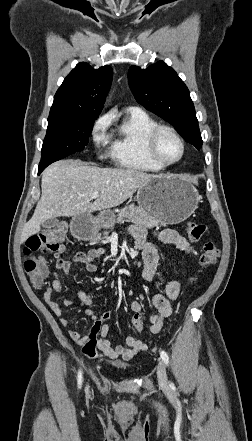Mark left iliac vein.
<instances>
[{
  "label": "left iliac vein",
  "mask_w": 252,
  "mask_h": 441,
  "mask_svg": "<svg viewBox=\"0 0 252 441\" xmlns=\"http://www.w3.org/2000/svg\"><path fill=\"white\" fill-rule=\"evenodd\" d=\"M157 377L162 388L168 386V378L164 364L160 361L157 366Z\"/></svg>",
  "instance_id": "1"
}]
</instances>
